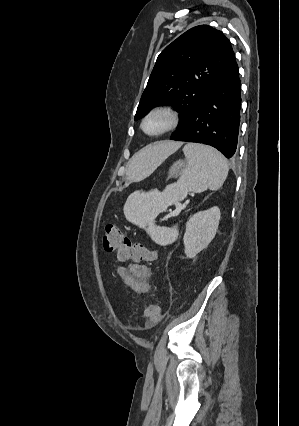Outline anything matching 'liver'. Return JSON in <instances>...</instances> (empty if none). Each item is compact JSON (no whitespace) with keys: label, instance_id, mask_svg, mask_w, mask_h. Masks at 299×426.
Masks as SVG:
<instances>
[{"label":"liver","instance_id":"6515ba94","mask_svg":"<svg viewBox=\"0 0 299 426\" xmlns=\"http://www.w3.org/2000/svg\"><path fill=\"white\" fill-rule=\"evenodd\" d=\"M182 143L160 141L147 145L138 151L130 160L128 174L132 178L144 177L151 174L168 156L173 154Z\"/></svg>","mask_w":299,"mask_h":426}]
</instances>
